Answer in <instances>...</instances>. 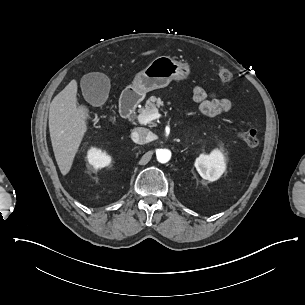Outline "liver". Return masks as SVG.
<instances>
[{
    "mask_svg": "<svg viewBox=\"0 0 305 305\" xmlns=\"http://www.w3.org/2000/svg\"><path fill=\"white\" fill-rule=\"evenodd\" d=\"M158 53L157 49L137 55L143 58ZM92 112L86 103H79L78 80L73 79L50 104L49 126L54 155L63 176H67L89 131Z\"/></svg>",
    "mask_w": 305,
    "mask_h": 305,
    "instance_id": "liver-1",
    "label": "liver"
}]
</instances>
